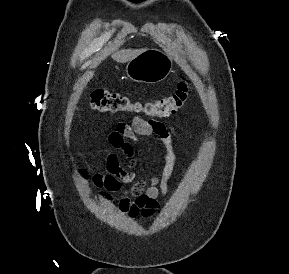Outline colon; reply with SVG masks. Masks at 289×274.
<instances>
[{"mask_svg": "<svg viewBox=\"0 0 289 274\" xmlns=\"http://www.w3.org/2000/svg\"><path fill=\"white\" fill-rule=\"evenodd\" d=\"M188 97L189 84L186 78H182L172 95L155 101L134 102L119 92L96 89L91 93L90 104L101 112H141L150 118H164L180 110Z\"/></svg>", "mask_w": 289, "mask_h": 274, "instance_id": "obj_1", "label": "colon"}]
</instances>
